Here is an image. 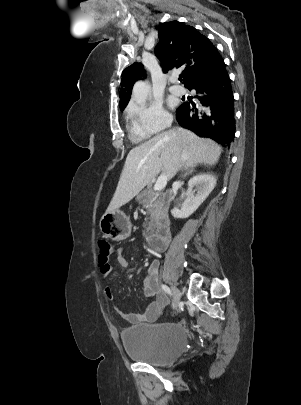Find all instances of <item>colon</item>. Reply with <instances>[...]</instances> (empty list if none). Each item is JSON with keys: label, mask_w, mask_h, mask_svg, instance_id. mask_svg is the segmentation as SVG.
<instances>
[{"label": "colon", "mask_w": 301, "mask_h": 405, "mask_svg": "<svg viewBox=\"0 0 301 405\" xmlns=\"http://www.w3.org/2000/svg\"><path fill=\"white\" fill-rule=\"evenodd\" d=\"M98 249L101 256L107 257L110 254L111 245L105 240H100L98 242Z\"/></svg>", "instance_id": "colon-1"}]
</instances>
